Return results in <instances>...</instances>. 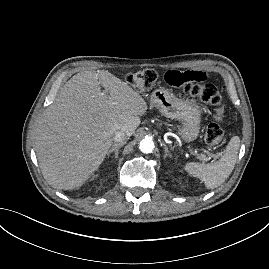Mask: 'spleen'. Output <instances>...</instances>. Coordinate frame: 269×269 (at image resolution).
Listing matches in <instances>:
<instances>
[{
  "label": "spleen",
  "mask_w": 269,
  "mask_h": 269,
  "mask_svg": "<svg viewBox=\"0 0 269 269\" xmlns=\"http://www.w3.org/2000/svg\"><path fill=\"white\" fill-rule=\"evenodd\" d=\"M240 146V138L234 136L226 145L223 155L218 161L208 164L189 162L184 165V170L191 176L201 179L206 188L219 187L232 173Z\"/></svg>",
  "instance_id": "spleen-1"
}]
</instances>
